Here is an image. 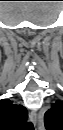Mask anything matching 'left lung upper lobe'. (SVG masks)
<instances>
[{"label": "left lung upper lobe", "mask_w": 63, "mask_h": 130, "mask_svg": "<svg viewBox=\"0 0 63 130\" xmlns=\"http://www.w3.org/2000/svg\"><path fill=\"white\" fill-rule=\"evenodd\" d=\"M47 130H63V102L57 101L44 116Z\"/></svg>", "instance_id": "obj_1"}]
</instances>
